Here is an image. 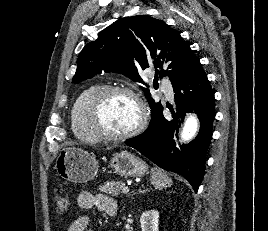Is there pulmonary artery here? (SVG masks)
Listing matches in <instances>:
<instances>
[{
    "label": "pulmonary artery",
    "mask_w": 268,
    "mask_h": 231,
    "mask_svg": "<svg viewBox=\"0 0 268 231\" xmlns=\"http://www.w3.org/2000/svg\"><path fill=\"white\" fill-rule=\"evenodd\" d=\"M162 91L163 93L170 99L174 96L173 87L170 83H164L162 84Z\"/></svg>",
    "instance_id": "e3ab8cb5"
}]
</instances>
